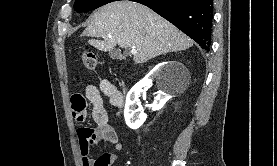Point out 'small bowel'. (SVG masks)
<instances>
[{
  "mask_svg": "<svg viewBox=\"0 0 277 166\" xmlns=\"http://www.w3.org/2000/svg\"><path fill=\"white\" fill-rule=\"evenodd\" d=\"M102 96H106L111 105L118 108L122 107L123 100L120 92L106 79L101 80L99 86L86 84L84 95L76 93L71 96L72 117L77 122H83L87 116V105L90 104L92 118L96 123L95 128L82 127L78 129L83 166H111L117 159L116 153H103L97 159L92 158L90 155L91 148L99 143L108 142L116 151L123 149V142L109 123Z\"/></svg>",
  "mask_w": 277,
  "mask_h": 166,
  "instance_id": "obj_1",
  "label": "small bowel"
}]
</instances>
